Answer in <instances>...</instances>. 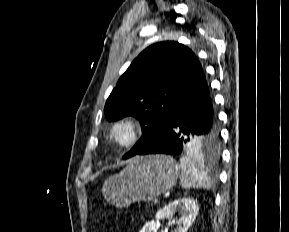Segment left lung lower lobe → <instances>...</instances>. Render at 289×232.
<instances>
[{
  "label": "left lung lower lobe",
  "instance_id": "obj_1",
  "mask_svg": "<svg viewBox=\"0 0 289 232\" xmlns=\"http://www.w3.org/2000/svg\"><path fill=\"white\" fill-rule=\"evenodd\" d=\"M218 136V120L202 72L177 104L166 128L136 154L179 155L195 150L196 142L211 144Z\"/></svg>",
  "mask_w": 289,
  "mask_h": 232
}]
</instances>
